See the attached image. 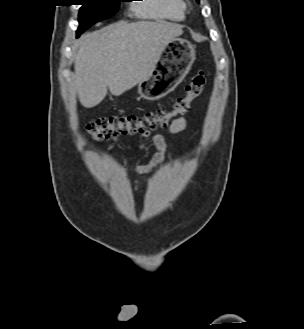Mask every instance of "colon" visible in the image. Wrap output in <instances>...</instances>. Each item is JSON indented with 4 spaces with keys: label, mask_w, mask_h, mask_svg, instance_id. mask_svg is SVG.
<instances>
[{
    "label": "colon",
    "mask_w": 304,
    "mask_h": 329,
    "mask_svg": "<svg viewBox=\"0 0 304 329\" xmlns=\"http://www.w3.org/2000/svg\"><path fill=\"white\" fill-rule=\"evenodd\" d=\"M205 83V73L198 71L187 85L186 94L176 99L172 109H159L143 115L99 118L88 125V132L96 140L126 134L147 135L158 127H166L174 117L187 113L192 101L202 93Z\"/></svg>",
    "instance_id": "5ec220e1"
}]
</instances>
